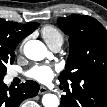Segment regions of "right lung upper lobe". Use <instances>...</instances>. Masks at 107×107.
<instances>
[{
  "label": "right lung upper lobe",
  "instance_id": "obj_1",
  "mask_svg": "<svg viewBox=\"0 0 107 107\" xmlns=\"http://www.w3.org/2000/svg\"><path fill=\"white\" fill-rule=\"evenodd\" d=\"M38 25V23L20 24L0 19V64L14 62L16 46Z\"/></svg>",
  "mask_w": 107,
  "mask_h": 107
}]
</instances>
